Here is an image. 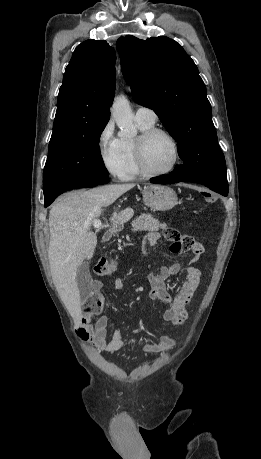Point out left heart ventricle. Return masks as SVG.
Instances as JSON below:
<instances>
[{"label":"left heart ventricle","instance_id":"obj_1","mask_svg":"<svg viewBox=\"0 0 261 459\" xmlns=\"http://www.w3.org/2000/svg\"><path fill=\"white\" fill-rule=\"evenodd\" d=\"M145 156L149 169L163 171L173 161V145L166 136L161 134L155 135L147 143Z\"/></svg>","mask_w":261,"mask_h":459}]
</instances>
